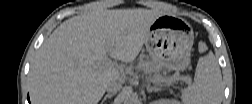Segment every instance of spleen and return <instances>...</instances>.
<instances>
[{
    "label": "spleen",
    "instance_id": "obj_1",
    "mask_svg": "<svg viewBox=\"0 0 252 104\" xmlns=\"http://www.w3.org/2000/svg\"><path fill=\"white\" fill-rule=\"evenodd\" d=\"M207 46L199 43V51L205 52ZM223 84L221 70L212 52L199 58L194 82L182 91L185 104H219L222 101Z\"/></svg>",
    "mask_w": 252,
    "mask_h": 104
}]
</instances>
